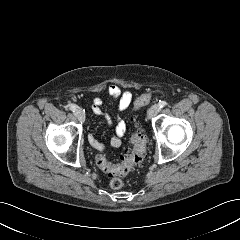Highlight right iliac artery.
Wrapping results in <instances>:
<instances>
[{
	"label": "right iliac artery",
	"instance_id": "right-iliac-artery-1",
	"mask_svg": "<svg viewBox=\"0 0 240 240\" xmlns=\"http://www.w3.org/2000/svg\"><path fill=\"white\" fill-rule=\"evenodd\" d=\"M69 109L73 112H75V110L77 109V106L75 104H71L69 105Z\"/></svg>",
	"mask_w": 240,
	"mask_h": 240
}]
</instances>
